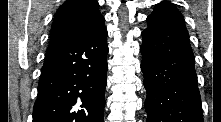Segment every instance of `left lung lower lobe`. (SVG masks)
Masks as SVG:
<instances>
[{"label":"left lung lower lobe","instance_id":"1","mask_svg":"<svg viewBox=\"0 0 221 122\" xmlns=\"http://www.w3.org/2000/svg\"><path fill=\"white\" fill-rule=\"evenodd\" d=\"M141 33L147 122H203L194 56L182 14L163 1Z\"/></svg>","mask_w":221,"mask_h":122}]
</instances>
